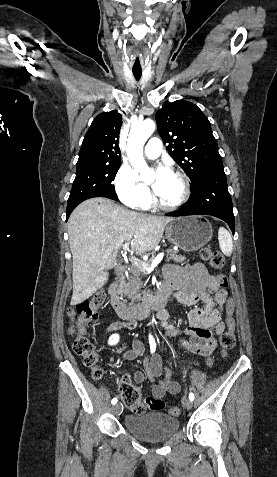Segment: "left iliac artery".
<instances>
[{
    "mask_svg": "<svg viewBox=\"0 0 277 477\" xmlns=\"http://www.w3.org/2000/svg\"><path fill=\"white\" fill-rule=\"evenodd\" d=\"M189 399H190L191 401L194 400V394H193V393H190V394H189Z\"/></svg>",
    "mask_w": 277,
    "mask_h": 477,
    "instance_id": "obj_1",
    "label": "left iliac artery"
}]
</instances>
